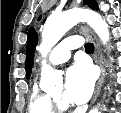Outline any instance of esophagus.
<instances>
[{"mask_svg": "<svg viewBox=\"0 0 121 113\" xmlns=\"http://www.w3.org/2000/svg\"><path fill=\"white\" fill-rule=\"evenodd\" d=\"M91 38H92L94 45H95V52H94L95 62L99 65L100 70H101V74H100V77L96 83L95 92H94V95H93V98L91 101V105H92V104H94V102L96 101V99L100 93V89H101V86H102L103 81H104L105 69H104V65H103V57L101 54L100 44L98 42V39H97L96 35H94L93 33L91 35Z\"/></svg>", "mask_w": 121, "mask_h": 113, "instance_id": "obj_1", "label": "esophagus"}]
</instances>
